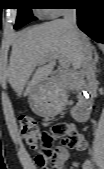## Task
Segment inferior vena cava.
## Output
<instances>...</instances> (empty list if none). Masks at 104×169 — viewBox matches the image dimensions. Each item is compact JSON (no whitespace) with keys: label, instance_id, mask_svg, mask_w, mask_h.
<instances>
[{"label":"inferior vena cava","instance_id":"obj_1","mask_svg":"<svg viewBox=\"0 0 104 169\" xmlns=\"http://www.w3.org/2000/svg\"><path fill=\"white\" fill-rule=\"evenodd\" d=\"M64 22L67 25L71 34L79 38L80 33L77 28V11L76 9H65ZM81 59H82V75L86 77L88 85L93 93L96 95L97 81L95 75L94 64L92 60V47L86 42H81Z\"/></svg>","mask_w":104,"mask_h":169}]
</instances>
